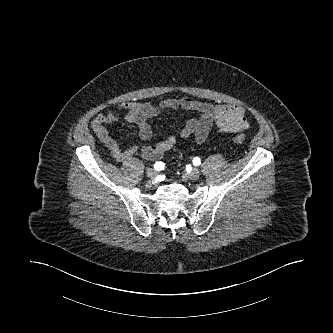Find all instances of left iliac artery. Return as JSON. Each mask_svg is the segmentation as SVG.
Segmentation results:
<instances>
[{
    "label": "left iliac artery",
    "instance_id": "1",
    "mask_svg": "<svg viewBox=\"0 0 333 333\" xmlns=\"http://www.w3.org/2000/svg\"><path fill=\"white\" fill-rule=\"evenodd\" d=\"M193 164H194L195 166H199V165L201 164V160H200V158H199V157H195V158L193 159Z\"/></svg>",
    "mask_w": 333,
    "mask_h": 333
}]
</instances>
